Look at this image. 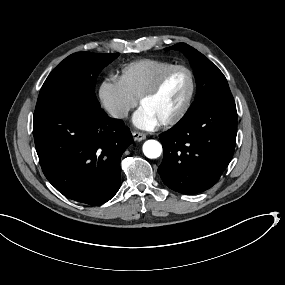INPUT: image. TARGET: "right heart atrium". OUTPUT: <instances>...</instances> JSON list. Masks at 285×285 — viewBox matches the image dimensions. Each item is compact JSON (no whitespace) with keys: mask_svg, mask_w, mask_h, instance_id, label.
Returning <instances> with one entry per match:
<instances>
[{"mask_svg":"<svg viewBox=\"0 0 285 285\" xmlns=\"http://www.w3.org/2000/svg\"><path fill=\"white\" fill-rule=\"evenodd\" d=\"M100 98L109 115L119 121L126 119L137 105V98L120 84L114 73L102 78Z\"/></svg>","mask_w":285,"mask_h":285,"instance_id":"1","label":"right heart atrium"}]
</instances>
